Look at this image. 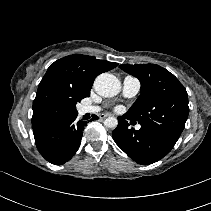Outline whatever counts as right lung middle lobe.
I'll list each match as a JSON object with an SVG mask.
<instances>
[{
	"label": "right lung middle lobe",
	"instance_id": "1",
	"mask_svg": "<svg viewBox=\"0 0 211 211\" xmlns=\"http://www.w3.org/2000/svg\"><path fill=\"white\" fill-rule=\"evenodd\" d=\"M81 100H77V99H75V100H73L72 101V103H71V113H76L77 112V110H76V104H77V102H80Z\"/></svg>",
	"mask_w": 211,
	"mask_h": 211
}]
</instances>
